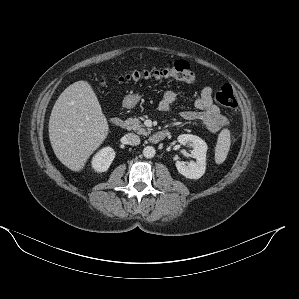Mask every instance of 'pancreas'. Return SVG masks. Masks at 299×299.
I'll use <instances>...</instances> for the list:
<instances>
[{
	"label": "pancreas",
	"instance_id": "1",
	"mask_svg": "<svg viewBox=\"0 0 299 299\" xmlns=\"http://www.w3.org/2000/svg\"><path fill=\"white\" fill-rule=\"evenodd\" d=\"M125 126L127 130H134L140 135H149L151 133V128H144V125L139 121L138 118H128L125 121Z\"/></svg>",
	"mask_w": 299,
	"mask_h": 299
}]
</instances>
